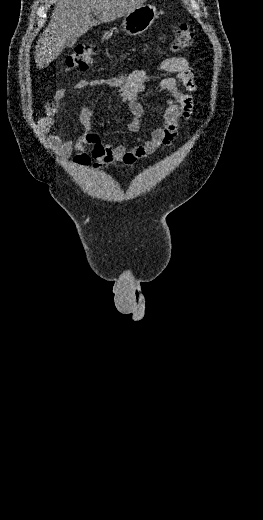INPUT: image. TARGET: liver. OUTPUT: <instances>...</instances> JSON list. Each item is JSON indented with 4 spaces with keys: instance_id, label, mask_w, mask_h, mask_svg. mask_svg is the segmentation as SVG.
Masks as SVG:
<instances>
[{
    "instance_id": "liver-1",
    "label": "liver",
    "mask_w": 263,
    "mask_h": 520,
    "mask_svg": "<svg viewBox=\"0 0 263 520\" xmlns=\"http://www.w3.org/2000/svg\"><path fill=\"white\" fill-rule=\"evenodd\" d=\"M147 0H58L51 20L38 40L35 62L39 69L48 66L66 46L97 26L133 11ZM98 19H94L93 15Z\"/></svg>"
}]
</instances>
